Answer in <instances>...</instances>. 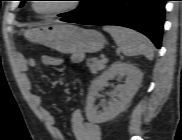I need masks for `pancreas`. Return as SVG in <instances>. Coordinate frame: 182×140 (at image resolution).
I'll list each match as a JSON object with an SVG mask.
<instances>
[{
    "label": "pancreas",
    "mask_w": 182,
    "mask_h": 140,
    "mask_svg": "<svg viewBox=\"0 0 182 140\" xmlns=\"http://www.w3.org/2000/svg\"><path fill=\"white\" fill-rule=\"evenodd\" d=\"M107 62H103L102 60H98L96 58H90L87 60V66L89 67L91 73H97L105 68V64Z\"/></svg>",
    "instance_id": "cf45deb5"
}]
</instances>
